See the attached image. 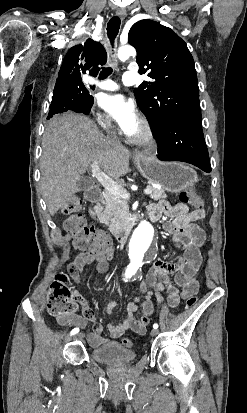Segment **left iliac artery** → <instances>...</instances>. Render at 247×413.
<instances>
[{"mask_svg": "<svg viewBox=\"0 0 247 413\" xmlns=\"http://www.w3.org/2000/svg\"><path fill=\"white\" fill-rule=\"evenodd\" d=\"M153 328H154V329H157V328H158V324L155 323V324L153 325Z\"/></svg>", "mask_w": 247, "mask_h": 413, "instance_id": "44dca946", "label": "left iliac artery"}]
</instances>
